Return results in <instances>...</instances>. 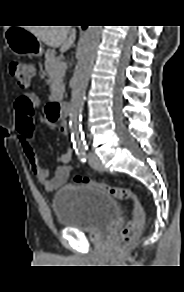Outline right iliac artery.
I'll return each mask as SVG.
<instances>
[{"instance_id": "1", "label": "right iliac artery", "mask_w": 184, "mask_h": 292, "mask_svg": "<svg viewBox=\"0 0 184 292\" xmlns=\"http://www.w3.org/2000/svg\"><path fill=\"white\" fill-rule=\"evenodd\" d=\"M76 154L81 162H86V148L76 149Z\"/></svg>"}]
</instances>
